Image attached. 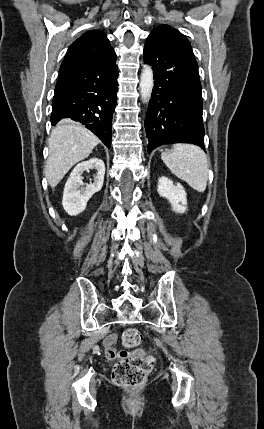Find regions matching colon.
I'll return each instance as SVG.
<instances>
[{"mask_svg":"<svg viewBox=\"0 0 264 429\" xmlns=\"http://www.w3.org/2000/svg\"><path fill=\"white\" fill-rule=\"evenodd\" d=\"M141 332L136 328H129L122 335V344L127 349L138 347L142 343ZM154 364L152 356L140 353H123L121 359L114 365L112 370L113 382L125 388H137L147 380Z\"/></svg>","mask_w":264,"mask_h":429,"instance_id":"1","label":"colon"}]
</instances>
